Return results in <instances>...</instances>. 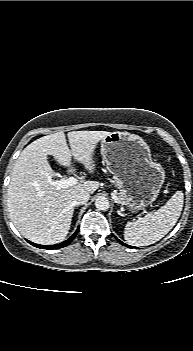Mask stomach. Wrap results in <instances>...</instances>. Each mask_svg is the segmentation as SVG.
<instances>
[{
	"mask_svg": "<svg viewBox=\"0 0 193 351\" xmlns=\"http://www.w3.org/2000/svg\"><path fill=\"white\" fill-rule=\"evenodd\" d=\"M103 161L125 190V205L138 212L158 197L164 168L152 158L148 144L129 132H112L101 141Z\"/></svg>",
	"mask_w": 193,
	"mask_h": 351,
	"instance_id": "obj_1",
	"label": "stomach"
}]
</instances>
